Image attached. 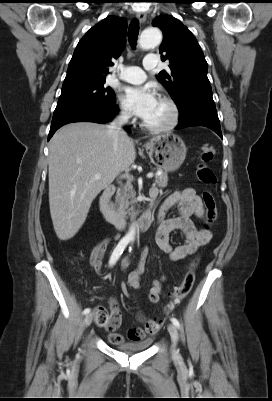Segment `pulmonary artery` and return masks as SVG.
Masks as SVG:
<instances>
[{"label": "pulmonary artery", "instance_id": "pulmonary-artery-1", "mask_svg": "<svg viewBox=\"0 0 272 401\" xmlns=\"http://www.w3.org/2000/svg\"><path fill=\"white\" fill-rule=\"evenodd\" d=\"M145 70H152L157 67V57L147 56L143 61ZM145 70L136 66L121 67L120 79L133 84L142 83L146 79Z\"/></svg>", "mask_w": 272, "mask_h": 401}]
</instances>
